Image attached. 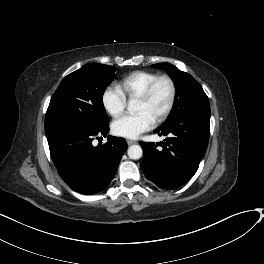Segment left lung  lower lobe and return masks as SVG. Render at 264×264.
I'll return each mask as SVG.
<instances>
[{"mask_svg":"<svg viewBox=\"0 0 264 264\" xmlns=\"http://www.w3.org/2000/svg\"><path fill=\"white\" fill-rule=\"evenodd\" d=\"M154 133L170 137L158 144L140 142L141 168L158 187L178 188L193 177L205 154L210 135V107L191 109L161 125Z\"/></svg>","mask_w":264,"mask_h":264,"instance_id":"0a47b994","label":"left lung lower lobe"}]
</instances>
